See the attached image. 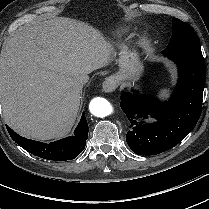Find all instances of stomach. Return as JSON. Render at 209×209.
Returning a JSON list of instances; mask_svg holds the SVG:
<instances>
[{
    "label": "stomach",
    "mask_w": 209,
    "mask_h": 209,
    "mask_svg": "<svg viewBox=\"0 0 209 209\" xmlns=\"http://www.w3.org/2000/svg\"><path fill=\"white\" fill-rule=\"evenodd\" d=\"M119 71L113 75L118 82L138 81L143 73L144 67L140 60L139 53L135 49L123 46L117 60Z\"/></svg>",
    "instance_id": "0dacf381"
}]
</instances>
